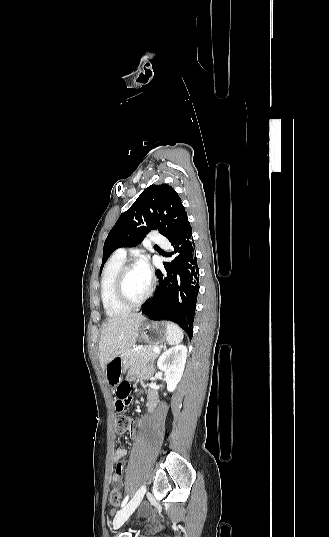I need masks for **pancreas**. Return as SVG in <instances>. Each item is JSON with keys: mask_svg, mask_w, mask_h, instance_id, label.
Instances as JSON below:
<instances>
[{"mask_svg": "<svg viewBox=\"0 0 329 537\" xmlns=\"http://www.w3.org/2000/svg\"><path fill=\"white\" fill-rule=\"evenodd\" d=\"M157 353L153 346H145L139 349L127 350L122 356V364L124 368L134 365L136 362H147L157 358Z\"/></svg>", "mask_w": 329, "mask_h": 537, "instance_id": "1", "label": "pancreas"}]
</instances>
